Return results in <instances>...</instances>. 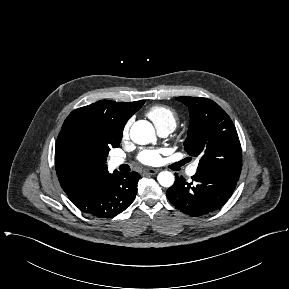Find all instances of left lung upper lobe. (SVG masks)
<instances>
[{
	"label": "left lung upper lobe",
	"instance_id": "obj_1",
	"mask_svg": "<svg viewBox=\"0 0 289 289\" xmlns=\"http://www.w3.org/2000/svg\"><path fill=\"white\" fill-rule=\"evenodd\" d=\"M190 110V125L184 149L199 156L198 171L219 173L239 180L242 150L236 128L214 101L201 97H177Z\"/></svg>",
	"mask_w": 289,
	"mask_h": 289
}]
</instances>
